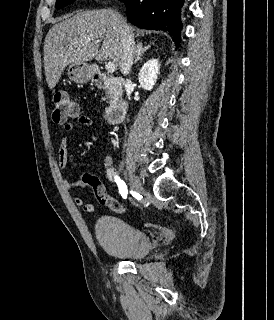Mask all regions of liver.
Here are the masks:
<instances>
[{"label": "liver", "mask_w": 274, "mask_h": 320, "mask_svg": "<svg viewBox=\"0 0 274 320\" xmlns=\"http://www.w3.org/2000/svg\"><path fill=\"white\" fill-rule=\"evenodd\" d=\"M119 22L127 20L108 8L91 12L80 10L52 26L43 48L48 88H55L68 64H86L95 58L97 62L112 60L121 68L123 44Z\"/></svg>", "instance_id": "liver-1"}]
</instances>
